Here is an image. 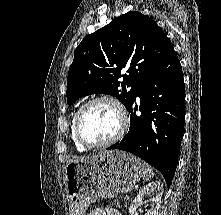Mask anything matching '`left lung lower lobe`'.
Instances as JSON below:
<instances>
[{
    "label": "left lung lower lobe",
    "mask_w": 221,
    "mask_h": 215,
    "mask_svg": "<svg viewBox=\"0 0 221 215\" xmlns=\"http://www.w3.org/2000/svg\"><path fill=\"white\" fill-rule=\"evenodd\" d=\"M184 99L182 68L171 45L161 63L140 84L127 109L131 113L129 132L108 149L124 150L142 158L163 174L169 187L183 135Z\"/></svg>",
    "instance_id": "obj_1"
}]
</instances>
